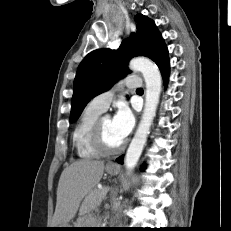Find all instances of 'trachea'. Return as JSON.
Listing matches in <instances>:
<instances>
[{
	"label": "trachea",
	"instance_id": "1",
	"mask_svg": "<svg viewBox=\"0 0 231 231\" xmlns=\"http://www.w3.org/2000/svg\"><path fill=\"white\" fill-rule=\"evenodd\" d=\"M136 91H143V89L142 88H138Z\"/></svg>",
	"mask_w": 231,
	"mask_h": 231
}]
</instances>
